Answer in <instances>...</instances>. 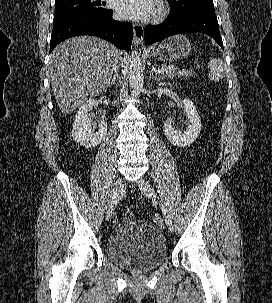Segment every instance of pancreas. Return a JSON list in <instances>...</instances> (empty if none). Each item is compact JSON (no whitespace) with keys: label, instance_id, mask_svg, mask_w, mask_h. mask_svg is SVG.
Returning a JSON list of instances; mask_svg holds the SVG:
<instances>
[{"label":"pancreas","instance_id":"pancreas-1","mask_svg":"<svg viewBox=\"0 0 272 303\" xmlns=\"http://www.w3.org/2000/svg\"><path fill=\"white\" fill-rule=\"evenodd\" d=\"M161 68H164L165 69V72L163 73V75L165 77H168V78H173L174 76L176 75H183V76H188V75H191V72L190 71H185V70H182V71H176L175 67L173 65H166V64H163L161 66Z\"/></svg>","mask_w":272,"mask_h":303}]
</instances>
